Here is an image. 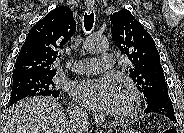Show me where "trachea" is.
Listing matches in <instances>:
<instances>
[{
  "mask_svg": "<svg viewBox=\"0 0 184 133\" xmlns=\"http://www.w3.org/2000/svg\"><path fill=\"white\" fill-rule=\"evenodd\" d=\"M94 23V13L91 12L89 14L85 13L84 15V27L86 31H90L93 27Z\"/></svg>",
  "mask_w": 184,
  "mask_h": 133,
  "instance_id": "obj_1",
  "label": "trachea"
}]
</instances>
